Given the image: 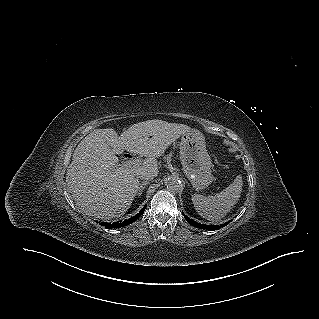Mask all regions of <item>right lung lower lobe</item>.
<instances>
[{
  "label": "right lung lower lobe",
  "instance_id": "1",
  "mask_svg": "<svg viewBox=\"0 0 319 319\" xmlns=\"http://www.w3.org/2000/svg\"><path fill=\"white\" fill-rule=\"evenodd\" d=\"M146 205L142 208V210L137 213L134 217H131L129 219H126L124 221H118V222H113L111 223H100V225L108 227V228H119V227H123L126 225H129L133 222H135L141 215H143L144 211H145Z\"/></svg>",
  "mask_w": 319,
  "mask_h": 319
}]
</instances>
